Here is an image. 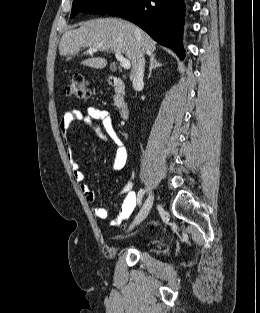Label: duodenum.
Instances as JSON below:
<instances>
[{
  "instance_id": "obj_1",
  "label": "duodenum",
  "mask_w": 260,
  "mask_h": 313,
  "mask_svg": "<svg viewBox=\"0 0 260 313\" xmlns=\"http://www.w3.org/2000/svg\"><path fill=\"white\" fill-rule=\"evenodd\" d=\"M109 83L114 89L116 101L118 103V114L122 120H128L130 117V109L124 100L126 87L123 81L115 75L109 79Z\"/></svg>"
}]
</instances>
